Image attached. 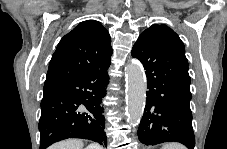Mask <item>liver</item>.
Listing matches in <instances>:
<instances>
[{
	"label": "liver",
	"mask_w": 227,
	"mask_h": 149,
	"mask_svg": "<svg viewBox=\"0 0 227 149\" xmlns=\"http://www.w3.org/2000/svg\"><path fill=\"white\" fill-rule=\"evenodd\" d=\"M84 143L79 139H68L60 141L52 146L49 149H83ZM97 149H102L100 145H97Z\"/></svg>",
	"instance_id": "6515ba94"
}]
</instances>
